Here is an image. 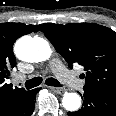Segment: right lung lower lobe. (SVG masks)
Masks as SVG:
<instances>
[{"mask_svg":"<svg viewBox=\"0 0 116 116\" xmlns=\"http://www.w3.org/2000/svg\"><path fill=\"white\" fill-rule=\"evenodd\" d=\"M38 90L33 89L25 92L4 116H30L34 111Z\"/></svg>","mask_w":116,"mask_h":116,"instance_id":"98d812e1","label":"right lung lower lobe"}]
</instances>
